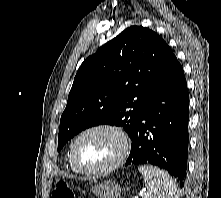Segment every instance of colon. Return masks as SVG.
<instances>
[{"instance_id": "obj_1", "label": "colon", "mask_w": 221, "mask_h": 198, "mask_svg": "<svg viewBox=\"0 0 221 198\" xmlns=\"http://www.w3.org/2000/svg\"><path fill=\"white\" fill-rule=\"evenodd\" d=\"M52 198H75V195L65 181L57 180L52 193Z\"/></svg>"}]
</instances>
